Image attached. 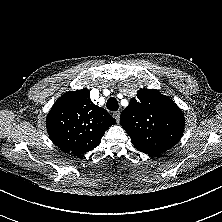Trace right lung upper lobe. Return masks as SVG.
Returning a JSON list of instances; mask_svg holds the SVG:
<instances>
[{"mask_svg":"<svg viewBox=\"0 0 222 222\" xmlns=\"http://www.w3.org/2000/svg\"><path fill=\"white\" fill-rule=\"evenodd\" d=\"M115 123L106 110L93 104L88 89L64 93L46 119L53 143L62 151L75 155L97 147L105 131Z\"/></svg>","mask_w":222,"mask_h":222,"instance_id":"obj_1","label":"right lung upper lobe"}]
</instances>
